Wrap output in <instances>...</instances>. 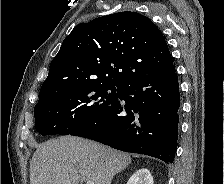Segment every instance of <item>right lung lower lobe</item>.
<instances>
[{"label": "right lung lower lobe", "instance_id": "1", "mask_svg": "<svg viewBox=\"0 0 224 184\" xmlns=\"http://www.w3.org/2000/svg\"><path fill=\"white\" fill-rule=\"evenodd\" d=\"M180 92L175 68L122 85L118 99L70 135L172 163L177 149Z\"/></svg>", "mask_w": 224, "mask_h": 184}]
</instances>
